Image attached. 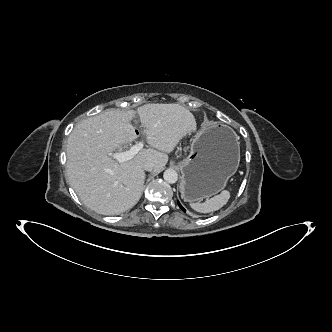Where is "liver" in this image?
I'll return each instance as SVG.
<instances>
[{
  "mask_svg": "<svg viewBox=\"0 0 332 332\" xmlns=\"http://www.w3.org/2000/svg\"><path fill=\"white\" fill-rule=\"evenodd\" d=\"M140 117L151 148L142 149L131 160L119 163L112 154L135 138L131 120ZM194 115L179 104H146L136 112L114 109L87 118L73 129L67 141V176L90 209L104 215L122 213L141 197L145 162L160 172L180 140L196 131Z\"/></svg>",
  "mask_w": 332,
  "mask_h": 332,
  "instance_id": "liver-1",
  "label": "liver"
}]
</instances>
